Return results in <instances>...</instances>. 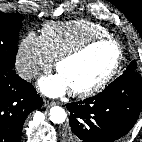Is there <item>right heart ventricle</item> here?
Segmentation results:
<instances>
[{
	"label": "right heart ventricle",
	"instance_id": "1",
	"mask_svg": "<svg viewBox=\"0 0 142 142\" xmlns=\"http://www.w3.org/2000/svg\"><path fill=\"white\" fill-rule=\"evenodd\" d=\"M103 36H109L104 26L89 20H74L49 22L42 28L40 37L52 59H57L76 46Z\"/></svg>",
	"mask_w": 142,
	"mask_h": 142
}]
</instances>
